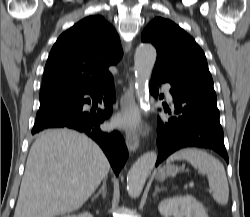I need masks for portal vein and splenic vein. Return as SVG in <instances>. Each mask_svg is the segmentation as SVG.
<instances>
[{"label": "portal vein and splenic vein", "instance_id": "portal-vein-and-splenic-vein-1", "mask_svg": "<svg viewBox=\"0 0 250 217\" xmlns=\"http://www.w3.org/2000/svg\"><path fill=\"white\" fill-rule=\"evenodd\" d=\"M189 186H190V187H193V186H194V183H193V182H190ZM212 191H213L212 189H208V192L211 193Z\"/></svg>", "mask_w": 250, "mask_h": 217}]
</instances>
